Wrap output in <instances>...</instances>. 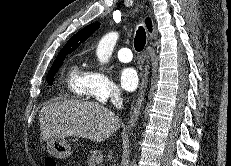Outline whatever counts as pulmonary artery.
Instances as JSON below:
<instances>
[{"mask_svg":"<svg viewBox=\"0 0 231 166\" xmlns=\"http://www.w3.org/2000/svg\"><path fill=\"white\" fill-rule=\"evenodd\" d=\"M117 57L122 62H130L132 60V52L128 47H122L118 50Z\"/></svg>","mask_w":231,"mask_h":166,"instance_id":"1","label":"pulmonary artery"}]
</instances>
